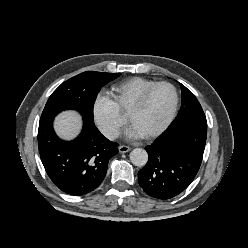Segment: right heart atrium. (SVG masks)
I'll return each instance as SVG.
<instances>
[{"mask_svg":"<svg viewBox=\"0 0 248 248\" xmlns=\"http://www.w3.org/2000/svg\"><path fill=\"white\" fill-rule=\"evenodd\" d=\"M92 116L100 132L108 139L117 138L126 124L125 116L105 92L95 97L92 104Z\"/></svg>","mask_w":248,"mask_h":248,"instance_id":"right-heart-atrium-1","label":"right heart atrium"}]
</instances>
